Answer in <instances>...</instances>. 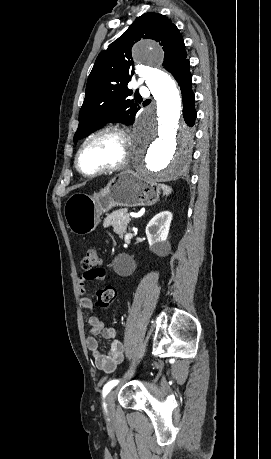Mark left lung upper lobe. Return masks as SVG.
I'll return each mask as SVG.
<instances>
[{"mask_svg":"<svg viewBox=\"0 0 271 459\" xmlns=\"http://www.w3.org/2000/svg\"><path fill=\"white\" fill-rule=\"evenodd\" d=\"M160 43L165 52L163 66L172 72L187 59L185 44L178 28L162 14L148 12L135 22L107 50L102 51L88 77L84 103L79 112V126L74 142L87 137L108 122L134 123L140 106L127 99L133 75L131 48L140 39Z\"/></svg>","mask_w":271,"mask_h":459,"instance_id":"1","label":"left lung upper lobe"}]
</instances>
